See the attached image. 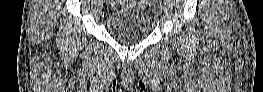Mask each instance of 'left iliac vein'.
Segmentation results:
<instances>
[{
	"instance_id": "4c4485c4",
	"label": "left iliac vein",
	"mask_w": 263,
	"mask_h": 92,
	"mask_svg": "<svg viewBox=\"0 0 263 92\" xmlns=\"http://www.w3.org/2000/svg\"><path fill=\"white\" fill-rule=\"evenodd\" d=\"M161 4H162V0H157V2L154 5L155 12L157 13L156 17H159V14L162 12Z\"/></svg>"
}]
</instances>
